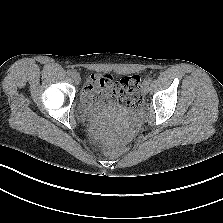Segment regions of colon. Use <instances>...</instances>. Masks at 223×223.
<instances>
[{"label":"colon","mask_w":223,"mask_h":223,"mask_svg":"<svg viewBox=\"0 0 223 223\" xmlns=\"http://www.w3.org/2000/svg\"><path fill=\"white\" fill-rule=\"evenodd\" d=\"M115 86L121 94V100L129 109L136 111L141 107L142 96L140 93V77L138 75L126 76L120 81H116ZM103 151L107 155L115 153L112 148H104Z\"/></svg>","instance_id":"obj_1"}]
</instances>
